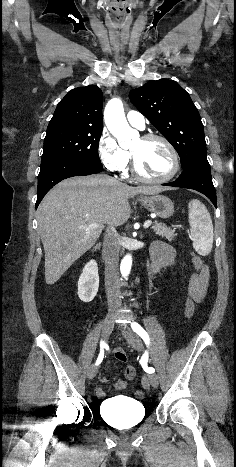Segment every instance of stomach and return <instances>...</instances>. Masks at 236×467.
<instances>
[{"mask_svg":"<svg viewBox=\"0 0 236 467\" xmlns=\"http://www.w3.org/2000/svg\"><path fill=\"white\" fill-rule=\"evenodd\" d=\"M141 204L160 218H169L174 213V204L166 196L153 195L140 198Z\"/></svg>","mask_w":236,"mask_h":467,"instance_id":"obj_1","label":"stomach"}]
</instances>
